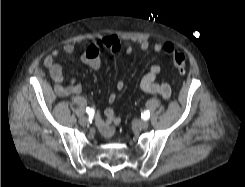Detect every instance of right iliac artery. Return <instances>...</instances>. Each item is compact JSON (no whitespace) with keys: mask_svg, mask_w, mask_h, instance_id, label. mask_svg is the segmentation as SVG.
<instances>
[{"mask_svg":"<svg viewBox=\"0 0 245 187\" xmlns=\"http://www.w3.org/2000/svg\"><path fill=\"white\" fill-rule=\"evenodd\" d=\"M86 112H87V114L89 115V116H93L94 115V109H92V108H89V107H87L86 108Z\"/></svg>","mask_w":245,"mask_h":187,"instance_id":"obj_1","label":"right iliac artery"}]
</instances>
